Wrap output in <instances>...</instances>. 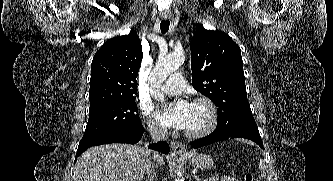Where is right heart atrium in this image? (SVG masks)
Returning a JSON list of instances; mask_svg holds the SVG:
<instances>
[{"mask_svg": "<svg viewBox=\"0 0 333 181\" xmlns=\"http://www.w3.org/2000/svg\"><path fill=\"white\" fill-rule=\"evenodd\" d=\"M141 113L146 119V124L149 132L154 136H163L166 133V129L162 124L152 118V111L147 107L141 108Z\"/></svg>", "mask_w": 333, "mask_h": 181, "instance_id": "obj_1", "label": "right heart atrium"}]
</instances>
